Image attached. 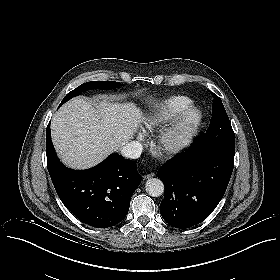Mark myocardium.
Instances as JSON below:
<instances>
[{"label": "myocardium", "mask_w": 280, "mask_h": 280, "mask_svg": "<svg viewBox=\"0 0 280 280\" xmlns=\"http://www.w3.org/2000/svg\"><path fill=\"white\" fill-rule=\"evenodd\" d=\"M201 122L197 110L191 109L183 118L173 120L160 134L155 153L159 156L174 154L191 139Z\"/></svg>", "instance_id": "f54148a6"}]
</instances>
